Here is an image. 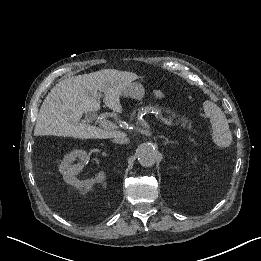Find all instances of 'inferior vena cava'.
<instances>
[{
	"instance_id": "obj_1",
	"label": "inferior vena cava",
	"mask_w": 261,
	"mask_h": 261,
	"mask_svg": "<svg viewBox=\"0 0 261 261\" xmlns=\"http://www.w3.org/2000/svg\"><path fill=\"white\" fill-rule=\"evenodd\" d=\"M114 141L119 144H127L129 143V138L127 134L124 132H120L117 136L114 137Z\"/></svg>"
}]
</instances>
